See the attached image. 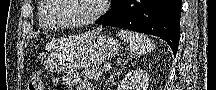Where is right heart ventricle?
I'll return each instance as SVG.
<instances>
[{
	"instance_id": "right-heart-ventricle-1",
	"label": "right heart ventricle",
	"mask_w": 216,
	"mask_h": 90,
	"mask_svg": "<svg viewBox=\"0 0 216 90\" xmlns=\"http://www.w3.org/2000/svg\"><path fill=\"white\" fill-rule=\"evenodd\" d=\"M55 2H40V6L37 7L39 14H53L51 7H54ZM38 23L41 29H55L50 25L43 16H39Z\"/></svg>"
}]
</instances>
